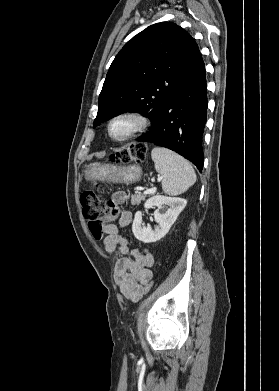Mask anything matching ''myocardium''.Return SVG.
Wrapping results in <instances>:
<instances>
[{
	"label": "myocardium",
	"instance_id": "obj_1",
	"mask_svg": "<svg viewBox=\"0 0 279 391\" xmlns=\"http://www.w3.org/2000/svg\"><path fill=\"white\" fill-rule=\"evenodd\" d=\"M119 121H128L129 129L120 136L113 133V126ZM148 125V119L141 113L136 111H123L113 116L107 125L109 137L116 142H125L133 138L136 134L144 130Z\"/></svg>",
	"mask_w": 279,
	"mask_h": 391
}]
</instances>
